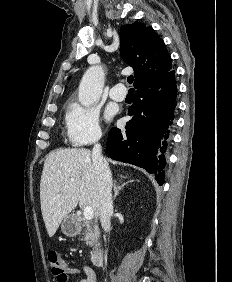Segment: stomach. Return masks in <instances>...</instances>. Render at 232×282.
I'll use <instances>...</instances> for the list:
<instances>
[{"mask_svg":"<svg viewBox=\"0 0 232 282\" xmlns=\"http://www.w3.org/2000/svg\"><path fill=\"white\" fill-rule=\"evenodd\" d=\"M61 231L67 237H74L80 232V224L74 215H68L62 220Z\"/></svg>","mask_w":232,"mask_h":282,"instance_id":"stomach-1","label":"stomach"}]
</instances>
